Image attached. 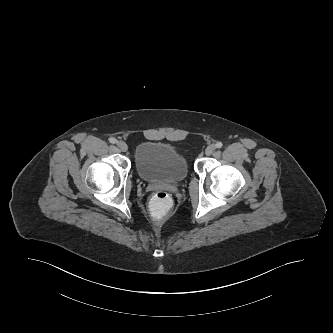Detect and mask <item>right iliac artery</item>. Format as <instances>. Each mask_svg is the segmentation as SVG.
<instances>
[{
    "instance_id": "1",
    "label": "right iliac artery",
    "mask_w": 333,
    "mask_h": 333,
    "mask_svg": "<svg viewBox=\"0 0 333 333\" xmlns=\"http://www.w3.org/2000/svg\"><path fill=\"white\" fill-rule=\"evenodd\" d=\"M109 141H110V143H112V144H115V143L117 142V140H116L115 138H110Z\"/></svg>"
}]
</instances>
